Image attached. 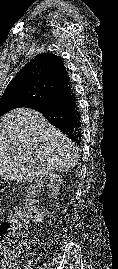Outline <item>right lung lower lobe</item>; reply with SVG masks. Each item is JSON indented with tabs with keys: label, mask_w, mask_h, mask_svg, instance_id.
<instances>
[{
	"label": "right lung lower lobe",
	"mask_w": 118,
	"mask_h": 269,
	"mask_svg": "<svg viewBox=\"0 0 118 269\" xmlns=\"http://www.w3.org/2000/svg\"><path fill=\"white\" fill-rule=\"evenodd\" d=\"M42 113L75 143L81 142V115L72 85L27 106Z\"/></svg>",
	"instance_id": "98d812e1"
}]
</instances>
